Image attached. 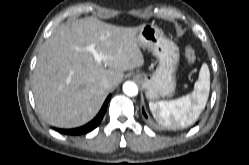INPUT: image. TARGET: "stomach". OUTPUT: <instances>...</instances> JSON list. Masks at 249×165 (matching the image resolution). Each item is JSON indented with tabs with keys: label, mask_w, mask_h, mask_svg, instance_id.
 Segmentation results:
<instances>
[{
	"label": "stomach",
	"mask_w": 249,
	"mask_h": 165,
	"mask_svg": "<svg viewBox=\"0 0 249 165\" xmlns=\"http://www.w3.org/2000/svg\"><path fill=\"white\" fill-rule=\"evenodd\" d=\"M136 40L142 49L151 52L158 60V66L152 75H135L145 90L147 99L154 101L160 97L173 95L180 58L178 46L153 24L142 25Z\"/></svg>",
	"instance_id": "obj_1"
}]
</instances>
